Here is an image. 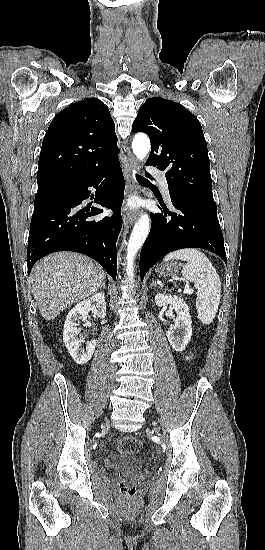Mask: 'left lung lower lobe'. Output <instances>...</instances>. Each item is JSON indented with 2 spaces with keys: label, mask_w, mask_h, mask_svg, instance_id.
I'll return each instance as SVG.
<instances>
[{
  "label": "left lung lower lobe",
  "mask_w": 265,
  "mask_h": 550,
  "mask_svg": "<svg viewBox=\"0 0 265 550\" xmlns=\"http://www.w3.org/2000/svg\"><path fill=\"white\" fill-rule=\"evenodd\" d=\"M170 199L172 211L163 203L159 206L162 213L152 214L151 230L140 254L141 279L160 258L182 248L209 250L227 264L217 208L190 197Z\"/></svg>",
  "instance_id": "obj_1"
}]
</instances>
